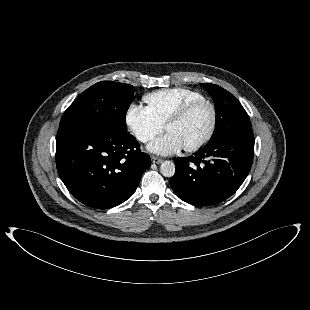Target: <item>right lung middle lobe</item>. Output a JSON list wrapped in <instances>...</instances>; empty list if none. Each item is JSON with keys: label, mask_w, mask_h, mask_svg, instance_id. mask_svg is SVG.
I'll use <instances>...</instances> for the list:
<instances>
[{"label": "right lung middle lobe", "mask_w": 310, "mask_h": 310, "mask_svg": "<svg viewBox=\"0 0 310 310\" xmlns=\"http://www.w3.org/2000/svg\"><path fill=\"white\" fill-rule=\"evenodd\" d=\"M134 87L101 81L82 94L64 112L59 128L81 125L112 135L128 134L125 115L134 98Z\"/></svg>", "instance_id": "obj_1"}]
</instances>
